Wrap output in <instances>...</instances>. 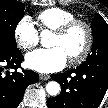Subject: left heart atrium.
Listing matches in <instances>:
<instances>
[{"instance_id":"39dd6f15","label":"left heart atrium","mask_w":108,"mask_h":108,"mask_svg":"<svg viewBox=\"0 0 108 108\" xmlns=\"http://www.w3.org/2000/svg\"><path fill=\"white\" fill-rule=\"evenodd\" d=\"M67 61L65 52L57 46L38 49L26 57L27 66L40 73L57 72L65 67Z\"/></svg>"}]
</instances>
